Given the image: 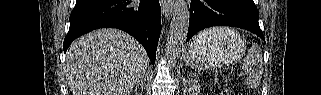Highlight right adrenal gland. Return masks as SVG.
Returning a JSON list of instances; mask_svg holds the SVG:
<instances>
[{"mask_svg": "<svg viewBox=\"0 0 321 95\" xmlns=\"http://www.w3.org/2000/svg\"><path fill=\"white\" fill-rule=\"evenodd\" d=\"M145 81H146V77H143V79L136 85L135 91H137V89H138L139 87H141V89H143V88H144V85H145Z\"/></svg>", "mask_w": 321, "mask_h": 95, "instance_id": "2a0ac1e0", "label": "right adrenal gland"}]
</instances>
